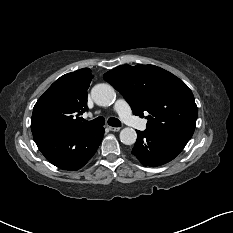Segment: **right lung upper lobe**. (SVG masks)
Wrapping results in <instances>:
<instances>
[{
	"mask_svg": "<svg viewBox=\"0 0 233 233\" xmlns=\"http://www.w3.org/2000/svg\"><path fill=\"white\" fill-rule=\"evenodd\" d=\"M91 71L83 68L57 79L38 99L31 118L33 136L75 134L91 127L78 118L87 111V89Z\"/></svg>",
	"mask_w": 233,
	"mask_h": 233,
	"instance_id": "cb5924a9",
	"label": "right lung upper lobe"
}]
</instances>
